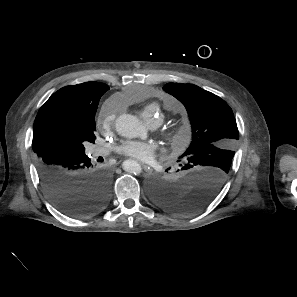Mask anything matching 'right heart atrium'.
Here are the masks:
<instances>
[{
    "label": "right heart atrium",
    "instance_id": "obj_1",
    "mask_svg": "<svg viewBox=\"0 0 297 297\" xmlns=\"http://www.w3.org/2000/svg\"><path fill=\"white\" fill-rule=\"evenodd\" d=\"M117 110L114 100H107L103 104L99 115L100 126L103 130H109L113 126Z\"/></svg>",
    "mask_w": 297,
    "mask_h": 297
}]
</instances>
